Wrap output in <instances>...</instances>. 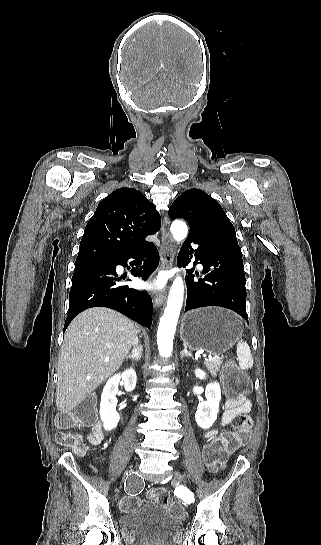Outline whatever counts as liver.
<instances>
[{"mask_svg":"<svg viewBox=\"0 0 321 545\" xmlns=\"http://www.w3.org/2000/svg\"><path fill=\"white\" fill-rule=\"evenodd\" d=\"M135 335L134 323L112 309L94 307L75 317L58 361L56 407L60 413L76 409L120 369Z\"/></svg>","mask_w":321,"mask_h":545,"instance_id":"obj_1","label":"liver"}]
</instances>
